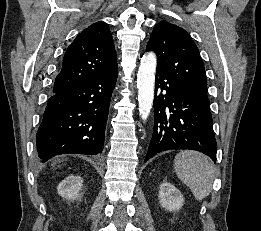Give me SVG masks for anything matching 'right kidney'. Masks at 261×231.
I'll return each instance as SVG.
<instances>
[{
  "label": "right kidney",
  "mask_w": 261,
  "mask_h": 231,
  "mask_svg": "<svg viewBox=\"0 0 261 231\" xmlns=\"http://www.w3.org/2000/svg\"><path fill=\"white\" fill-rule=\"evenodd\" d=\"M83 178L71 175L65 178L57 187L58 194L63 198L74 201L80 198L79 192L82 189Z\"/></svg>",
  "instance_id": "1"
}]
</instances>
